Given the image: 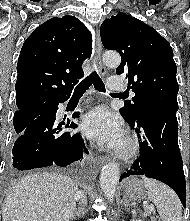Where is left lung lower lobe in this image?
<instances>
[{"instance_id": "0a47b994", "label": "left lung lower lobe", "mask_w": 190, "mask_h": 221, "mask_svg": "<svg viewBox=\"0 0 190 221\" xmlns=\"http://www.w3.org/2000/svg\"><path fill=\"white\" fill-rule=\"evenodd\" d=\"M128 123L139 137L140 156L133 167L120 176V181L130 175L157 179L170 186L186 207V184L178 146L176 111L149 107L139 111L135 120Z\"/></svg>"}]
</instances>
